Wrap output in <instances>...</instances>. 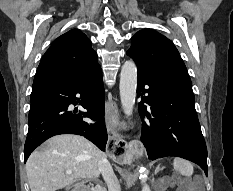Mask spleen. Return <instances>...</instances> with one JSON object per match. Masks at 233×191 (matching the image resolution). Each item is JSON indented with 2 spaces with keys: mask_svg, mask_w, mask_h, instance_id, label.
Here are the masks:
<instances>
[{
  "mask_svg": "<svg viewBox=\"0 0 233 191\" xmlns=\"http://www.w3.org/2000/svg\"><path fill=\"white\" fill-rule=\"evenodd\" d=\"M173 167L176 172L185 177H190L193 174L192 164L182 158H175L173 161Z\"/></svg>",
  "mask_w": 233,
  "mask_h": 191,
  "instance_id": "1",
  "label": "spleen"
}]
</instances>
